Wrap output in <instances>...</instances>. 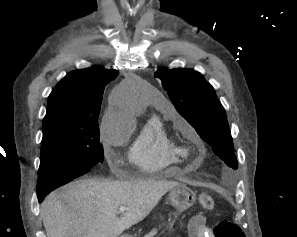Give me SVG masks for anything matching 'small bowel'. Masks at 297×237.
<instances>
[{
    "instance_id": "small-bowel-1",
    "label": "small bowel",
    "mask_w": 297,
    "mask_h": 237,
    "mask_svg": "<svg viewBox=\"0 0 297 237\" xmlns=\"http://www.w3.org/2000/svg\"><path fill=\"white\" fill-rule=\"evenodd\" d=\"M190 234L192 237H214L211 230L201 222L198 226H196V223L193 225Z\"/></svg>"
}]
</instances>
